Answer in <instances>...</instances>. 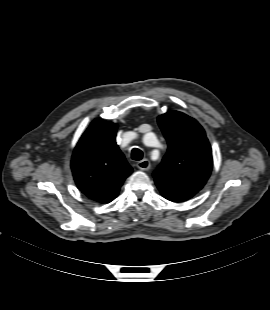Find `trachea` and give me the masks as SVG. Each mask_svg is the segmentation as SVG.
<instances>
[{"label":"trachea","instance_id":"trachea-1","mask_svg":"<svg viewBox=\"0 0 270 310\" xmlns=\"http://www.w3.org/2000/svg\"><path fill=\"white\" fill-rule=\"evenodd\" d=\"M131 158L135 161H140L143 158V152L138 148H133L131 152Z\"/></svg>","mask_w":270,"mask_h":310}]
</instances>
